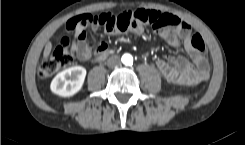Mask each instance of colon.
<instances>
[{
  "instance_id": "5ec220e1",
  "label": "colon",
  "mask_w": 245,
  "mask_h": 145,
  "mask_svg": "<svg viewBox=\"0 0 245 145\" xmlns=\"http://www.w3.org/2000/svg\"><path fill=\"white\" fill-rule=\"evenodd\" d=\"M84 22L88 25L104 27L109 32H125L141 26L176 30L181 23L178 18L168 13L143 8L126 10L118 14L103 12L72 17L65 25L60 45L49 50L39 66L38 72L42 78L71 65L73 54L79 51L77 43L79 35L75 31V27ZM82 36H85V32ZM191 43L198 52L203 54L207 52L206 44L199 35L193 34Z\"/></svg>"
}]
</instances>
